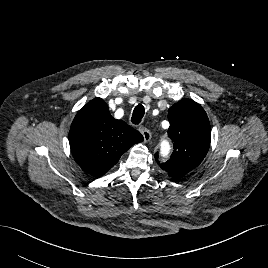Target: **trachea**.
Masks as SVG:
<instances>
[{"instance_id": "3493384b", "label": "trachea", "mask_w": 268, "mask_h": 268, "mask_svg": "<svg viewBox=\"0 0 268 268\" xmlns=\"http://www.w3.org/2000/svg\"><path fill=\"white\" fill-rule=\"evenodd\" d=\"M144 113H145L144 106L141 104H138L133 110V114L131 118L132 123L135 125H138L141 122L144 116Z\"/></svg>"}]
</instances>
